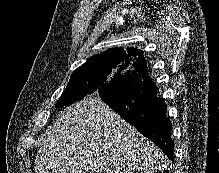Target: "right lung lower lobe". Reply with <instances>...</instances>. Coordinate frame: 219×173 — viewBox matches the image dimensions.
Here are the masks:
<instances>
[{"label": "right lung lower lobe", "instance_id": "1", "mask_svg": "<svg viewBox=\"0 0 219 173\" xmlns=\"http://www.w3.org/2000/svg\"><path fill=\"white\" fill-rule=\"evenodd\" d=\"M156 94V84L151 80L146 65L129 73L116 90L99 96L112 110L153 141L173 161L171 121L166 117L164 100Z\"/></svg>", "mask_w": 219, "mask_h": 173}]
</instances>
